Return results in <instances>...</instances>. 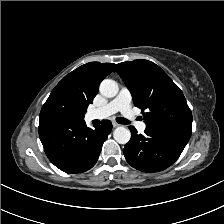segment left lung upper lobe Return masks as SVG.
<instances>
[{"instance_id": "5c2ea615", "label": "left lung upper lobe", "mask_w": 224, "mask_h": 224, "mask_svg": "<svg viewBox=\"0 0 224 224\" xmlns=\"http://www.w3.org/2000/svg\"><path fill=\"white\" fill-rule=\"evenodd\" d=\"M149 127L192 131V113L179 87L155 63L147 60L126 61L116 65Z\"/></svg>"}]
</instances>
